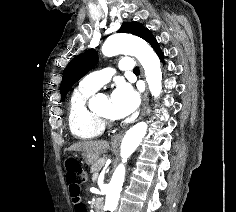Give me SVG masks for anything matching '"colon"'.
<instances>
[{"label":"colon","mask_w":236,"mask_h":212,"mask_svg":"<svg viewBox=\"0 0 236 212\" xmlns=\"http://www.w3.org/2000/svg\"><path fill=\"white\" fill-rule=\"evenodd\" d=\"M66 169H67L66 175H76V179L81 180L80 185H82L86 181V173L81 163L78 160L70 159L66 161ZM67 183H68V180H67Z\"/></svg>","instance_id":"1"}]
</instances>
